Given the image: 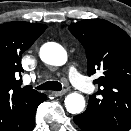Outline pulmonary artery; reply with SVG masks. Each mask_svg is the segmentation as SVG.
<instances>
[{"label": "pulmonary artery", "instance_id": "e3ab8cb5", "mask_svg": "<svg viewBox=\"0 0 131 131\" xmlns=\"http://www.w3.org/2000/svg\"><path fill=\"white\" fill-rule=\"evenodd\" d=\"M68 76L71 83L84 93H90L93 89L89 80L83 76L75 66L71 65L68 70Z\"/></svg>", "mask_w": 131, "mask_h": 131}]
</instances>
